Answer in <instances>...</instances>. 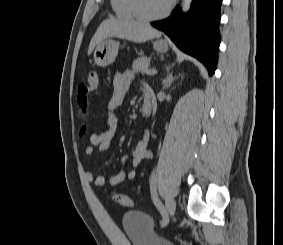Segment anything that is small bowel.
<instances>
[{
    "mask_svg": "<svg viewBox=\"0 0 283 245\" xmlns=\"http://www.w3.org/2000/svg\"><path fill=\"white\" fill-rule=\"evenodd\" d=\"M132 79L133 73L128 70L119 72L114 76L113 92L107 105L109 112L107 126L102 132L93 133L90 135V146H88L85 150V154L87 156H93L96 153V150L99 153H103L110 148L111 142L117 131V118L114 112L122 104ZM149 138L150 133L148 130H146L144 136L137 143L136 147L132 150V152L123 157V168L116 175H95L91 171H86L85 178L98 187L104 186L106 184L114 186L122 183L125 180L131 181L135 179L136 168L144 159H148L151 157V152L148 150ZM128 162H130L132 165L131 169L126 168Z\"/></svg>",
    "mask_w": 283,
    "mask_h": 245,
    "instance_id": "1",
    "label": "small bowel"
}]
</instances>
